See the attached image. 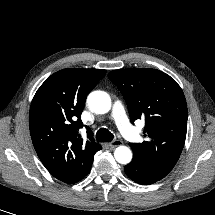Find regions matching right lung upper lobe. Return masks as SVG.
Returning a JSON list of instances; mask_svg holds the SVG:
<instances>
[{"label": "right lung upper lobe", "instance_id": "right-lung-upper-lobe-1", "mask_svg": "<svg viewBox=\"0 0 215 215\" xmlns=\"http://www.w3.org/2000/svg\"><path fill=\"white\" fill-rule=\"evenodd\" d=\"M106 70L68 68L52 74L37 90L30 107L29 126L34 148L46 169L71 184L86 176L101 146L78 134L81 113L90 91Z\"/></svg>", "mask_w": 215, "mask_h": 215}]
</instances>
